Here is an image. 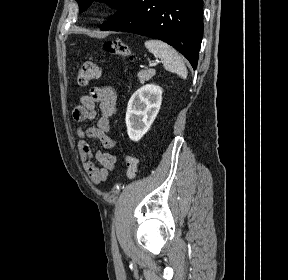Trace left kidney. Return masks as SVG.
Masks as SVG:
<instances>
[{"label": "left kidney", "mask_w": 288, "mask_h": 280, "mask_svg": "<svg viewBox=\"0 0 288 280\" xmlns=\"http://www.w3.org/2000/svg\"><path fill=\"white\" fill-rule=\"evenodd\" d=\"M162 102L161 87L147 84L130 98L126 112V126L129 138L139 141L150 129Z\"/></svg>", "instance_id": "obj_1"}]
</instances>
